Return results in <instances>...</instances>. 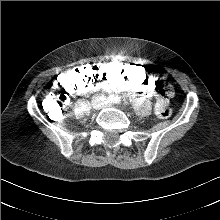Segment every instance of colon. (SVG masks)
Returning a JSON list of instances; mask_svg holds the SVG:
<instances>
[{
    "instance_id": "obj_1",
    "label": "colon",
    "mask_w": 220,
    "mask_h": 220,
    "mask_svg": "<svg viewBox=\"0 0 220 220\" xmlns=\"http://www.w3.org/2000/svg\"><path fill=\"white\" fill-rule=\"evenodd\" d=\"M122 81L132 84L140 89L153 91L160 84V75L157 70L133 61L121 62L112 59L108 62L89 63L79 66L74 70L65 71L59 79L48 88V93L43 101V108L49 114H56L63 111L66 99L71 93L85 89L91 82ZM174 95L170 83H164L159 89L158 99L154 107L156 113L161 117H168L171 113L169 97Z\"/></svg>"
}]
</instances>
